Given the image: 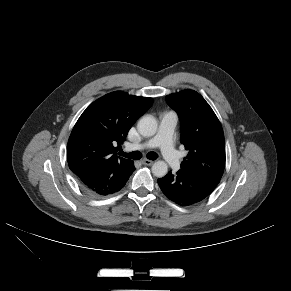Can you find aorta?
I'll use <instances>...</instances> for the list:
<instances>
[{
    "instance_id": "1",
    "label": "aorta",
    "mask_w": 291,
    "mask_h": 291,
    "mask_svg": "<svg viewBox=\"0 0 291 291\" xmlns=\"http://www.w3.org/2000/svg\"><path fill=\"white\" fill-rule=\"evenodd\" d=\"M158 124L156 119L151 115L142 117L137 125L138 132L144 137H151L157 132ZM168 172V165L164 161H156L152 165V173L156 177H164Z\"/></svg>"
}]
</instances>
